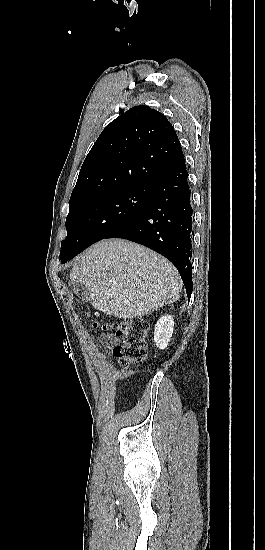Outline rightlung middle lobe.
Returning <instances> with one entry per match:
<instances>
[{
  "instance_id": "1",
  "label": "right lung middle lobe",
  "mask_w": 265,
  "mask_h": 550,
  "mask_svg": "<svg viewBox=\"0 0 265 550\" xmlns=\"http://www.w3.org/2000/svg\"><path fill=\"white\" fill-rule=\"evenodd\" d=\"M154 186H135L89 200L70 203L67 237L61 243L65 263L93 243L134 220L146 207Z\"/></svg>"
}]
</instances>
